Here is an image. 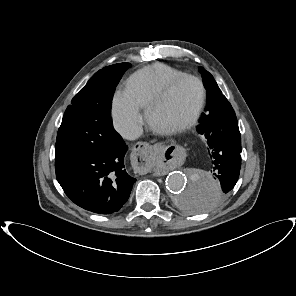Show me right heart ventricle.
<instances>
[{
  "instance_id": "obj_1",
  "label": "right heart ventricle",
  "mask_w": 296,
  "mask_h": 296,
  "mask_svg": "<svg viewBox=\"0 0 296 296\" xmlns=\"http://www.w3.org/2000/svg\"><path fill=\"white\" fill-rule=\"evenodd\" d=\"M184 74L165 64H153L133 74L127 82L126 91L140 108H147L165 85Z\"/></svg>"
}]
</instances>
